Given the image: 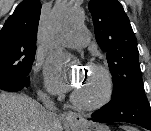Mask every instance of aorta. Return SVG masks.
Returning a JSON list of instances; mask_svg holds the SVG:
<instances>
[{"label":"aorta","instance_id":"1","mask_svg":"<svg viewBox=\"0 0 151 131\" xmlns=\"http://www.w3.org/2000/svg\"><path fill=\"white\" fill-rule=\"evenodd\" d=\"M76 12L73 8H56L54 9L50 25L54 31H65L71 29L75 24Z\"/></svg>","mask_w":151,"mask_h":131}]
</instances>
